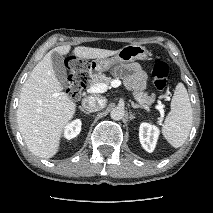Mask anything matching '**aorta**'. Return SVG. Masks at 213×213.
Returning <instances> with one entry per match:
<instances>
[{
  "label": "aorta",
  "instance_id": "762f6f07",
  "mask_svg": "<svg viewBox=\"0 0 213 213\" xmlns=\"http://www.w3.org/2000/svg\"><path fill=\"white\" fill-rule=\"evenodd\" d=\"M125 115L123 107H115L111 110L110 116L113 120H121Z\"/></svg>",
  "mask_w": 213,
  "mask_h": 213
}]
</instances>
